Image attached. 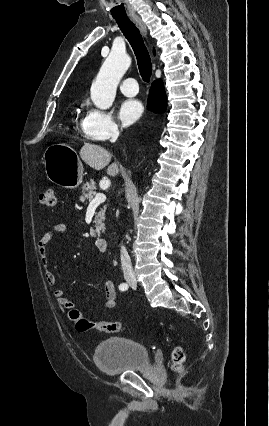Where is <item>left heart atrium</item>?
Returning <instances> with one entry per match:
<instances>
[{
  "label": "left heart atrium",
  "instance_id": "1",
  "mask_svg": "<svg viewBox=\"0 0 269 426\" xmlns=\"http://www.w3.org/2000/svg\"><path fill=\"white\" fill-rule=\"evenodd\" d=\"M143 113V106L139 100H124L118 110V118L124 126L136 122Z\"/></svg>",
  "mask_w": 269,
  "mask_h": 426
}]
</instances>
